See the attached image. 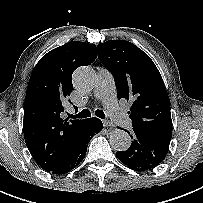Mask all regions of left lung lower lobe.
<instances>
[{"label": "left lung lower lobe", "instance_id": "left-lung-lower-lobe-1", "mask_svg": "<svg viewBox=\"0 0 203 203\" xmlns=\"http://www.w3.org/2000/svg\"><path fill=\"white\" fill-rule=\"evenodd\" d=\"M131 139V146L126 151L116 152V157L138 172L148 171L159 165L165 158L171 141L136 128L131 132Z\"/></svg>", "mask_w": 203, "mask_h": 203}]
</instances>
